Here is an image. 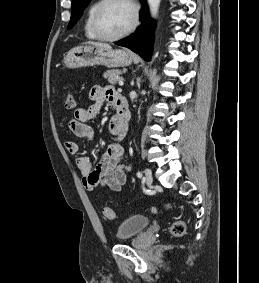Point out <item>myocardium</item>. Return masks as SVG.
<instances>
[{
	"instance_id": "myocardium-1",
	"label": "myocardium",
	"mask_w": 259,
	"mask_h": 283,
	"mask_svg": "<svg viewBox=\"0 0 259 283\" xmlns=\"http://www.w3.org/2000/svg\"><path fill=\"white\" fill-rule=\"evenodd\" d=\"M114 0H101L99 2V4L96 6L93 15H92V30L94 32V34L96 35V37L100 40L103 41H116L119 39H122L126 36H128L130 33H132L139 22V14H138V8L136 6V4L132 1V0H124L126 3H128L131 8H132V13H133V18H132V22L131 24L128 26L127 29H125L123 32L114 35V36H108L105 35L101 32L100 27H99V15L102 11V9L110 2H112Z\"/></svg>"
}]
</instances>
